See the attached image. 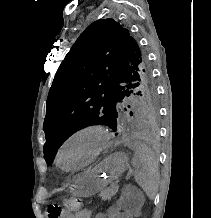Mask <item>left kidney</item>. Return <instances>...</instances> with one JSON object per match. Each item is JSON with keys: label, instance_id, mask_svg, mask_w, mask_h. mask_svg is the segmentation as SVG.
I'll return each mask as SVG.
<instances>
[{"label": "left kidney", "instance_id": "1", "mask_svg": "<svg viewBox=\"0 0 211 218\" xmlns=\"http://www.w3.org/2000/svg\"><path fill=\"white\" fill-rule=\"evenodd\" d=\"M136 207H131L130 198H118L113 207H108L107 218H139Z\"/></svg>", "mask_w": 211, "mask_h": 218}]
</instances>
